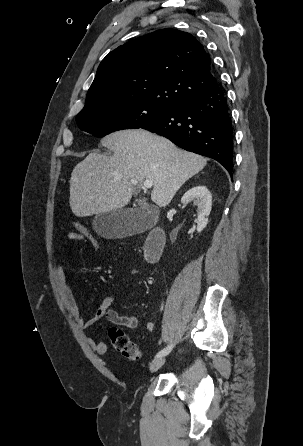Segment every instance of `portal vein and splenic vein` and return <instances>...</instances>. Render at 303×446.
Masks as SVG:
<instances>
[{"mask_svg": "<svg viewBox=\"0 0 303 446\" xmlns=\"http://www.w3.org/2000/svg\"><path fill=\"white\" fill-rule=\"evenodd\" d=\"M136 184V182H134ZM145 188H151L153 186V182L151 180H145L143 183Z\"/></svg>", "mask_w": 303, "mask_h": 446, "instance_id": "1", "label": "portal vein and splenic vein"}]
</instances>
